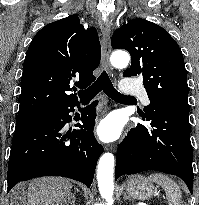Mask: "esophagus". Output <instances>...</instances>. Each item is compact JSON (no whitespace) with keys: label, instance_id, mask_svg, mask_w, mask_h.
Instances as JSON below:
<instances>
[{"label":"esophagus","instance_id":"esophagus-1","mask_svg":"<svg viewBox=\"0 0 199 205\" xmlns=\"http://www.w3.org/2000/svg\"><path fill=\"white\" fill-rule=\"evenodd\" d=\"M101 32L103 35V50H102V62L104 67L111 71L112 67L110 65V53H111V47H110V34H111V24L109 21H104L100 25ZM106 150L115 151L116 146L115 145H108L106 146Z\"/></svg>","mask_w":199,"mask_h":205}]
</instances>
